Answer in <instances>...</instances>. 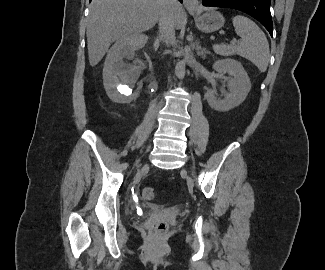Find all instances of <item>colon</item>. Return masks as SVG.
<instances>
[{
    "label": "colon",
    "mask_w": 325,
    "mask_h": 270,
    "mask_svg": "<svg viewBox=\"0 0 325 270\" xmlns=\"http://www.w3.org/2000/svg\"><path fill=\"white\" fill-rule=\"evenodd\" d=\"M142 195L145 200H153L155 197V191L151 187H145L142 191ZM167 228L165 222H158L154 224L153 231L158 234H163L167 231Z\"/></svg>",
    "instance_id": "1"
}]
</instances>
